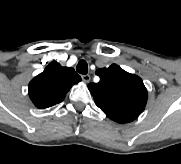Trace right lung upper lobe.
Wrapping results in <instances>:
<instances>
[{
    "label": "right lung upper lobe",
    "mask_w": 181,
    "mask_h": 164,
    "mask_svg": "<svg viewBox=\"0 0 181 164\" xmlns=\"http://www.w3.org/2000/svg\"><path fill=\"white\" fill-rule=\"evenodd\" d=\"M81 81L73 68L51 62L42 73L29 83V96L39 109L62 102L70 88Z\"/></svg>",
    "instance_id": "cb5924a9"
}]
</instances>
